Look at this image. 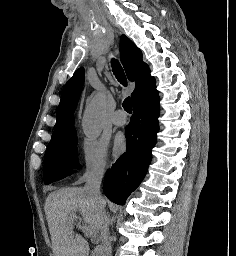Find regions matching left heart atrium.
I'll list each match as a JSON object with an SVG mask.
<instances>
[{
	"mask_svg": "<svg viewBox=\"0 0 236 256\" xmlns=\"http://www.w3.org/2000/svg\"><path fill=\"white\" fill-rule=\"evenodd\" d=\"M124 146V140L122 138H118L115 142L114 150L116 153H119Z\"/></svg>",
	"mask_w": 236,
	"mask_h": 256,
	"instance_id": "1",
	"label": "left heart atrium"
}]
</instances>
